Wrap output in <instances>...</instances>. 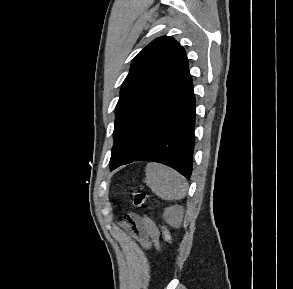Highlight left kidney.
<instances>
[{"label":"left kidney","instance_id":"1","mask_svg":"<svg viewBox=\"0 0 293 289\" xmlns=\"http://www.w3.org/2000/svg\"><path fill=\"white\" fill-rule=\"evenodd\" d=\"M183 208L174 205L165 209L163 213L164 220L171 226H178L183 217Z\"/></svg>","mask_w":293,"mask_h":289}]
</instances>
